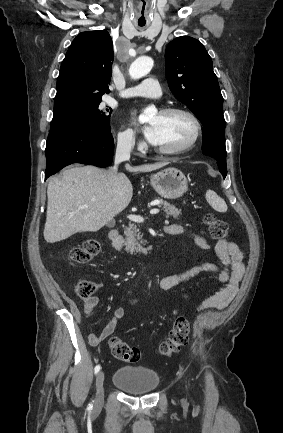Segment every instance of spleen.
Wrapping results in <instances>:
<instances>
[{"label": "spleen", "mask_w": 283, "mask_h": 433, "mask_svg": "<svg viewBox=\"0 0 283 433\" xmlns=\"http://www.w3.org/2000/svg\"><path fill=\"white\" fill-rule=\"evenodd\" d=\"M206 200L211 204L214 210H218V212H226L227 204L221 196H218L214 190H207L206 192Z\"/></svg>", "instance_id": "3e777b00"}]
</instances>
